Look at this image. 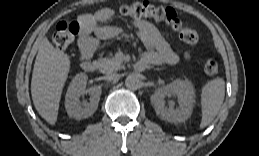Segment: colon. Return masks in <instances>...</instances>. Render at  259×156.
Returning <instances> with one entry per match:
<instances>
[{
  "mask_svg": "<svg viewBox=\"0 0 259 156\" xmlns=\"http://www.w3.org/2000/svg\"><path fill=\"white\" fill-rule=\"evenodd\" d=\"M120 12L129 17L149 18L156 22L164 23L178 33L180 38L188 44H194L199 39L196 31L182 25L176 11L172 8L158 7L148 2H137L122 6ZM80 30L79 21H60L56 25L52 41L58 49H65L74 41ZM218 69L219 64L215 59H208L204 64V71L208 75L216 74Z\"/></svg>",
  "mask_w": 259,
  "mask_h": 156,
  "instance_id": "5ec220e1",
  "label": "colon"
}]
</instances>
